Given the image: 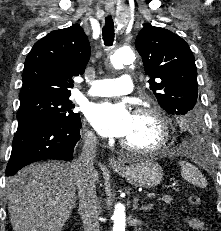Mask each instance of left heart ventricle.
<instances>
[{
  "instance_id": "1",
  "label": "left heart ventricle",
  "mask_w": 221,
  "mask_h": 231,
  "mask_svg": "<svg viewBox=\"0 0 221 231\" xmlns=\"http://www.w3.org/2000/svg\"><path fill=\"white\" fill-rule=\"evenodd\" d=\"M160 137V129L150 116L134 115L130 132L123 137L126 142L138 147L155 145Z\"/></svg>"
}]
</instances>
